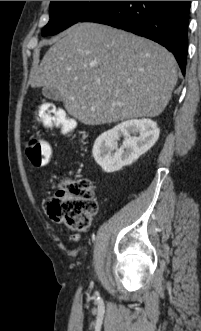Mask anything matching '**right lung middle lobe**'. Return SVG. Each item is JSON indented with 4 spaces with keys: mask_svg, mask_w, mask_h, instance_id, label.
Masks as SVG:
<instances>
[{
    "mask_svg": "<svg viewBox=\"0 0 201 331\" xmlns=\"http://www.w3.org/2000/svg\"><path fill=\"white\" fill-rule=\"evenodd\" d=\"M106 1H51L50 21L43 28L42 35L57 34L81 21Z\"/></svg>",
    "mask_w": 201,
    "mask_h": 331,
    "instance_id": "1",
    "label": "right lung middle lobe"
}]
</instances>
